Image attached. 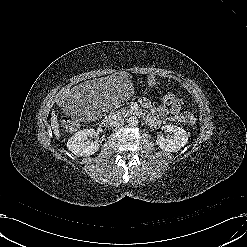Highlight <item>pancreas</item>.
<instances>
[{
    "mask_svg": "<svg viewBox=\"0 0 247 247\" xmlns=\"http://www.w3.org/2000/svg\"><path fill=\"white\" fill-rule=\"evenodd\" d=\"M124 111H125V112H129V111H130V109H125Z\"/></svg>",
    "mask_w": 247,
    "mask_h": 247,
    "instance_id": "pancreas-1",
    "label": "pancreas"
}]
</instances>
